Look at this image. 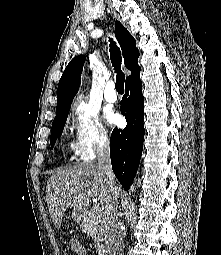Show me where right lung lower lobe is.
Returning a JSON list of instances; mask_svg holds the SVG:
<instances>
[{
  "label": "right lung lower lobe",
  "instance_id": "98d812e1",
  "mask_svg": "<svg viewBox=\"0 0 221 255\" xmlns=\"http://www.w3.org/2000/svg\"><path fill=\"white\" fill-rule=\"evenodd\" d=\"M140 69L125 83V96L121 113L127 126L115 128L110 138V156L115 176L125 189H129L139 166L144 139V97Z\"/></svg>",
  "mask_w": 221,
  "mask_h": 255
}]
</instances>
